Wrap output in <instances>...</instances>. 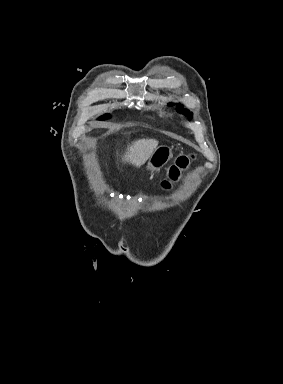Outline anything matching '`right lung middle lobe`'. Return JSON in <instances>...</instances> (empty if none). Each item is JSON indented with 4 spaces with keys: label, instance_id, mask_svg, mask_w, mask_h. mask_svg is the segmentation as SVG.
I'll list each match as a JSON object with an SVG mask.
<instances>
[{
    "label": "right lung middle lobe",
    "instance_id": "1",
    "mask_svg": "<svg viewBox=\"0 0 283 384\" xmlns=\"http://www.w3.org/2000/svg\"><path fill=\"white\" fill-rule=\"evenodd\" d=\"M110 116L109 115H105V116H103V117H100L99 119L100 120H105V119H108Z\"/></svg>",
    "mask_w": 283,
    "mask_h": 384
}]
</instances>
